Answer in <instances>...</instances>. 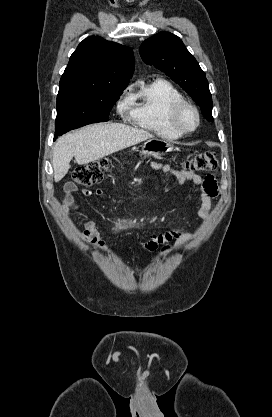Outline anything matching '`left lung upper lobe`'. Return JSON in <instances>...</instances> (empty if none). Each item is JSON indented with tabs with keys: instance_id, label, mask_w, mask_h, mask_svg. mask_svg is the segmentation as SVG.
I'll list each match as a JSON object with an SVG mask.
<instances>
[{
	"instance_id": "5c2ea615",
	"label": "left lung upper lobe",
	"mask_w": 272,
	"mask_h": 417,
	"mask_svg": "<svg viewBox=\"0 0 272 417\" xmlns=\"http://www.w3.org/2000/svg\"><path fill=\"white\" fill-rule=\"evenodd\" d=\"M139 52L146 64L155 66L186 90L204 117L213 121L206 75L179 37L170 32L158 33L145 40Z\"/></svg>"
}]
</instances>
